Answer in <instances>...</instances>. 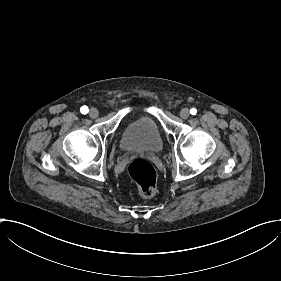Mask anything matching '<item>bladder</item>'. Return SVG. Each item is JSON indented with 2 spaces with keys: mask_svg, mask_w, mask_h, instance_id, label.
<instances>
[{
  "mask_svg": "<svg viewBox=\"0 0 281 281\" xmlns=\"http://www.w3.org/2000/svg\"><path fill=\"white\" fill-rule=\"evenodd\" d=\"M122 145L126 149L158 152L162 137L156 122L149 116H141L130 122L122 132Z\"/></svg>",
  "mask_w": 281,
  "mask_h": 281,
  "instance_id": "bladder-1",
  "label": "bladder"
}]
</instances>
